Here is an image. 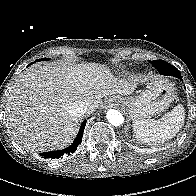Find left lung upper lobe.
Returning <instances> with one entry per match:
<instances>
[{
  "instance_id": "left-lung-upper-lobe-1",
  "label": "left lung upper lobe",
  "mask_w": 196,
  "mask_h": 196,
  "mask_svg": "<svg viewBox=\"0 0 196 196\" xmlns=\"http://www.w3.org/2000/svg\"><path fill=\"white\" fill-rule=\"evenodd\" d=\"M150 63L153 64L154 67L157 68L159 73L162 75L176 76L180 74V71L176 67L172 66L166 61L155 60V61H150Z\"/></svg>"
}]
</instances>
